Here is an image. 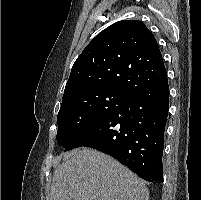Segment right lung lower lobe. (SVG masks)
Here are the masks:
<instances>
[{"mask_svg": "<svg viewBox=\"0 0 201 200\" xmlns=\"http://www.w3.org/2000/svg\"><path fill=\"white\" fill-rule=\"evenodd\" d=\"M169 110L167 75L129 95L72 140L65 151L91 147L111 155L149 182H163L164 130Z\"/></svg>", "mask_w": 201, "mask_h": 200, "instance_id": "right-lung-lower-lobe-1", "label": "right lung lower lobe"}]
</instances>
